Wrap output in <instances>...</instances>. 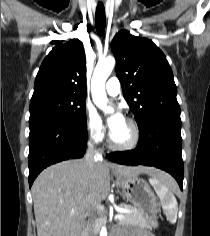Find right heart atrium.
<instances>
[{
  "label": "right heart atrium",
  "instance_id": "obj_1",
  "mask_svg": "<svg viewBox=\"0 0 210 236\" xmlns=\"http://www.w3.org/2000/svg\"><path fill=\"white\" fill-rule=\"evenodd\" d=\"M85 127L88 136L96 142L103 139L105 134L104 125L94 108L88 106L85 110Z\"/></svg>",
  "mask_w": 210,
  "mask_h": 236
}]
</instances>
